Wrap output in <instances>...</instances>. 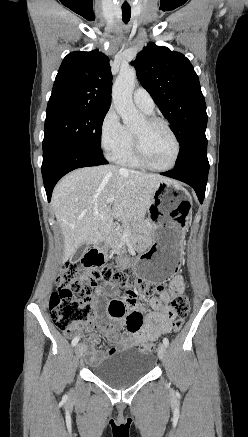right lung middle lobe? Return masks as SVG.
Masks as SVG:
<instances>
[{
	"mask_svg": "<svg viewBox=\"0 0 248 437\" xmlns=\"http://www.w3.org/2000/svg\"><path fill=\"white\" fill-rule=\"evenodd\" d=\"M107 112L69 102L48 103L43 148L72 143L102 154L101 130Z\"/></svg>",
	"mask_w": 248,
	"mask_h": 437,
	"instance_id": "right-lung-middle-lobe-1",
	"label": "right lung middle lobe"
}]
</instances>
